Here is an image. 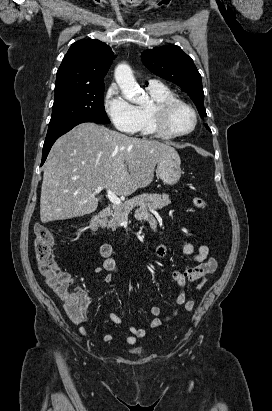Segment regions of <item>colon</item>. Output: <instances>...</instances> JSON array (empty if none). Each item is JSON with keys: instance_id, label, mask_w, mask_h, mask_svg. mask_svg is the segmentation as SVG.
<instances>
[{"instance_id": "5ec220e1", "label": "colon", "mask_w": 272, "mask_h": 411, "mask_svg": "<svg viewBox=\"0 0 272 411\" xmlns=\"http://www.w3.org/2000/svg\"><path fill=\"white\" fill-rule=\"evenodd\" d=\"M191 203L195 209H205L207 205L202 197H194ZM34 234L37 265L47 286L63 301L70 319L75 322H82L86 317L88 305L86 293L55 262L52 253L55 239L51 230L38 223L34 227Z\"/></svg>"}]
</instances>
